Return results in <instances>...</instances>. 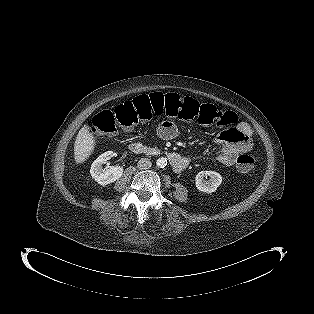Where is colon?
<instances>
[{
    "label": "colon",
    "mask_w": 314,
    "mask_h": 314,
    "mask_svg": "<svg viewBox=\"0 0 314 314\" xmlns=\"http://www.w3.org/2000/svg\"><path fill=\"white\" fill-rule=\"evenodd\" d=\"M168 116L182 121L225 126L229 113L218 111L211 104H202L192 97L154 92L127 100L113 110L99 112L92 121V131L98 135L114 136L120 129H130L138 123L150 121L155 116ZM255 160L250 154H241L236 161L237 169L249 172Z\"/></svg>",
    "instance_id": "obj_1"
}]
</instances>
